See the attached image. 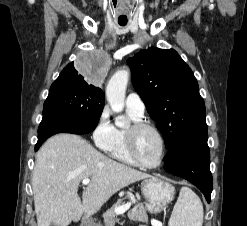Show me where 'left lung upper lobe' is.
Instances as JSON below:
<instances>
[{
    "label": "left lung upper lobe",
    "instance_id": "left-lung-upper-lobe-1",
    "mask_svg": "<svg viewBox=\"0 0 247 226\" xmlns=\"http://www.w3.org/2000/svg\"><path fill=\"white\" fill-rule=\"evenodd\" d=\"M132 83L157 120L168 151L207 134L205 104L193 72L173 50L149 48L127 60Z\"/></svg>",
    "mask_w": 247,
    "mask_h": 226
}]
</instances>
